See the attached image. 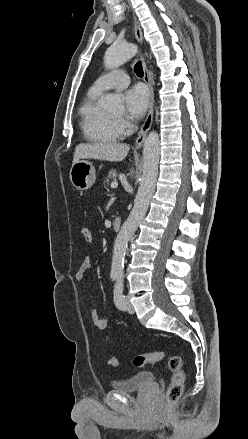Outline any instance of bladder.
I'll use <instances>...</instances> for the list:
<instances>
[{"instance_id":"bladder-1","label":"bladder","mask_w":248,"mask_h":439,"mask_svg":"<svg viewBox=\"0 0 248 439\" xmlns=\"http://www.w3.org/2000/svg\"><path fill=\"white\" fill-rule=\"evenodd\" d=\"M154 383V375L151 371H140L134 375L111 382V387L118 392L128 393L142 390Z\"/></svg>"}]
</instances>
